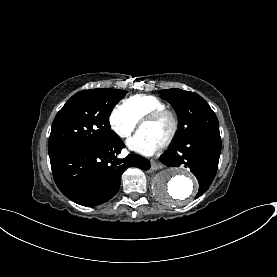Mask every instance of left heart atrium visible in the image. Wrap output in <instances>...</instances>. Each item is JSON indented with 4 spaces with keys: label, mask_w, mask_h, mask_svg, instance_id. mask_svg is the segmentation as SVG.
<instances>
[{
    "label": "left heart atrium",
    "mask_w": 277,
    "mask_h": 277,
    "mask_svg": "<svg viewBox=\"0 0 277 277\" xmlns=\"http://www.w3.org/2000/svg\"><path fill=\"white\" fill-rule=\"evenodd\" d=\"M127 145L139 153L150 154L161 146V142L144 130H140Z\"/></svg>",
    "instance_id": "obj_1"
}]
</instances>
